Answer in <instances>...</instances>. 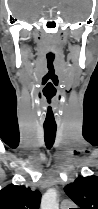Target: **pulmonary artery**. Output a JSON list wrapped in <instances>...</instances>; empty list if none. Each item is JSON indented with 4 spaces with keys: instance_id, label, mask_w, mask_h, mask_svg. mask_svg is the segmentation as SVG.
<instances>
[{
    "instance_id": "obj_1",
    "label": "pulmonary artery",
    "mask_w": 98,
    "mask_h": 209,
    "mask_svg": "<svg viewBox=\"0 0 98 209\" xmlns=\"http://www.w3.org/2000/svg\"><path fill=\"white\" fill-rule=\"evenodd\" d=\"M72 206V203L68 200H64L62 203H61V206L60 208L61 209H70V207Z\"/></svg>"
}]
</instances>
